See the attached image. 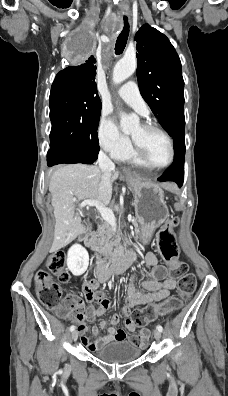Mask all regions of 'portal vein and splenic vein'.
Listing matches in <instances>:
<instances>
[{
  "label": "portal vein and splenic vein",
  "mask_w": 228,
  "mask_h": 396,
  "mask_svg": "<svg viewBox=\"0 0 228 396\" xmlns=\"http://www.w3.org/2000/svg\"><path fill=\"white\" fill-rule=\"evenodd\" d=\"M86 206H95L106 222H108L111 226L116 225V219L113 212L110 209L106 208L101 202L97 200H84L79 204L80 209Z\"/></svg>",
  "instance_id": "18ae733b"
}]
</instances>
